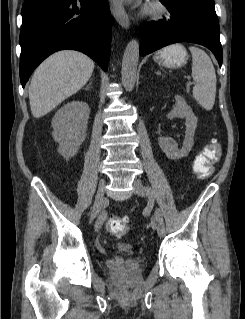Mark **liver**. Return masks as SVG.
<instances>
[{"label": "liver", "mask_w": 245, "mask_h": 319, "mask_svg": "<svg viewBox=\"0 0 245 319\" xmlns=\"http://www.w3.org/2000/svg\"><path fill=\"white\" fill-rule=\"evenodd\" d=\"M94 61L77 51H60L47 58L34 72L28 93L31 113L40 118L90 79Z\"/></svg>", "instance_id": "1"}]
</instances>
